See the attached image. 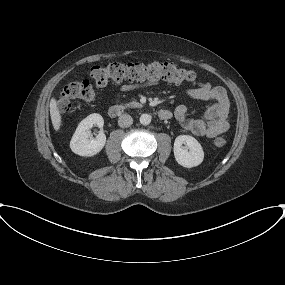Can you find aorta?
<instances>
[{"mask_svg": "<svg viewBox=\"0 0 285 285\" xmlns=\"http://www.w3.org/2000/svg\"><path fill=\"white\" fill-rule=\"evenodd\" d=\"M151 122V116L149 114H142L140 116V123L142 125H149Z\"/></svg>", "mask_w": 285, "mask_h": 285, "instance_id": "aorta-1", "label": "aorta"}]
</instances>
